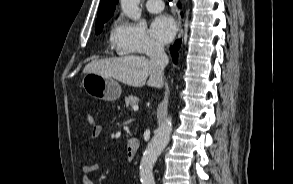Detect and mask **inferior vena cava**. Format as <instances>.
<instances>
[{"label":"inferior vena cava","mask_w":293,"mask_h":184,"mask_svg":"<svg viewBox=\"0 0 293 184\" xmlns=\"http://www.w3.org/2000/svg\"><path fill=\"white\" fill-rule=\"evenodd\" d=\"M148 56L151 64L154 66L155 71L163 75V70L168 64V56L164 51L163 45L159 43H152L148 50Z\"/></svg>","instance_id":"obj_1"}]
</instances>
